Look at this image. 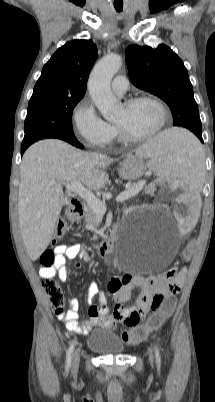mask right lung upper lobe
<instances>
[{"mask_svg": "<svg viewBox=\"0 0 215 402\" xmlns=\"http://www.w3.org/2000/svg\"><path fill=\"white\" fill-rule=\"evenodd\" d=\"M97 57L91 40H73L59 48L43 67L32 96L48 94L83 98Z\"/></svg>", "mask_w": 215, "mask_h": 402, "instance_id": "1", "label": "right lung upper lobe"}]
</instances>
